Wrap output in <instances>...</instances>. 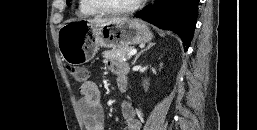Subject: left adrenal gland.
<instances>
[{"mask_svg": "<svg viewBox=\"0 0 257 130\" xmlns=\"http://www.w3.org/2000/svg\"><path fill=\"white\" fill-rule=\"evenodd\" d=\"M154 45H155V43H149L148 46H147L145 49L141 50V51L135 56V58H134V60H133V62H132V65H134V64L136 63L137 59L140 57V55H141L143 52L147 51L148 49H150V48L153 47Z\"/></svg>", "mask_w": 257, "mask_h": 130, "instance_id": "1", "label": "left adrenal gland"}]
</instances>
